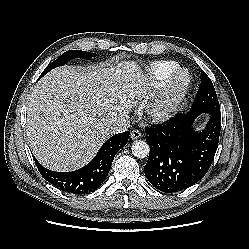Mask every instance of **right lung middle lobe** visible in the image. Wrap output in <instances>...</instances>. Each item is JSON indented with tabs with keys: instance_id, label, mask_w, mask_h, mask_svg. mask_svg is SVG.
I'll list each match as a JSON object with an SVG mask.
<instances>
[{
	"instance_id": "dd1d6c3e",
	"label": "right lung middle lobe",
	"mask_w": 249,
	"mask_h": 249,
	"mask_svg": "<svg viewBox=\"0 0 249 249\" xmlns=\"http://www.w3.org/2000/svg\"><path fill=\"white\" fill-rule=\"evenodd\" d=\"M95 53L85 52L81 50H70L63 53L59 58H57L54 62H52L41 74L40 78L44 76L47 72L52 70L53 68L59 67L67 63L69 60L73 58H84V59H91L95 57Z\"/></svg>"
}]
</instances>
